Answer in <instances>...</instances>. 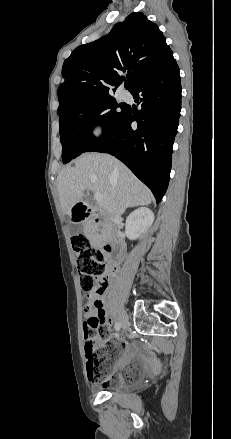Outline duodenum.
<instances>
[{
	"label": "duodenum",
	"instance_id": "410a0bca",
	"mask_svg": "<svg viewBox=\"0 0 231 439\" xmlns=\"http://www.w3.org/2000/svg\"><path fill=\"white\" fill-rule=\"evenodd\" d=\"M79 208L80 210L75 220L83 219L84 216H87L97 211V206L93 204L87 205L82 203L79 205ZM100 218H101L100 216H93V218L91 219V224L93 226H97L100 223ZM101 247L105 252L111 254L113 249L115 248V245L113 243L110 244L109 242H102ZM111 262L112 264H115L116 261L114 259H111ZM114 269H117V267L114 266Z\"/></svg>",
	"mask_w": 231,
	"mask_h": 439
}]
</instances>
